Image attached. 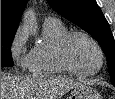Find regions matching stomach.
<instances>
[{"mask_svg":"<svg viewBox=\"0 0 115 99\" xmlns=\"http://www.w3.org/2000/svg\"><path fill=\"white\" fill-rule=\"evenodd\" d=\"M69 99H101V97L90 85L81 84L71 91Z\"/></svg>","mask_w":115,"mask_h":99,"instance_id":"obj_1","label":"stomach"}]
</instances>
